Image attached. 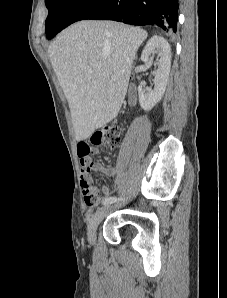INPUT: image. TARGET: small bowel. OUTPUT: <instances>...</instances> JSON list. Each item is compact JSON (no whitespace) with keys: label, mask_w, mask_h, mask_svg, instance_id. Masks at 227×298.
<instances>
[{"label":"small bowel","mask_w":227,"mask_h":298,"mask_svg":"<svg viewBox=\"0 0 227 298\" xmlns=\"http://www.w3.org/2000/svg\"><path fill=\"white\" fill-rule=\"evenodd\" d=\"M77 151H78V158L80 159V163L82 166L81 186H82L83 192L85 190L84 186L88 185L90 190L96 193L99 197L98 189L91 186L89 171L93 170L96 172H101L109 177H116L117 168L106 167L99 162H91L90 155H95L99 151H98V146H89V142H78ZM101 193H102V198H107L110 195L111 190L108 187L104 186L101 190ZM87 205L94 206L89 204Z\"/></svg>","instance_id":"obj_1"}]
</instances>
